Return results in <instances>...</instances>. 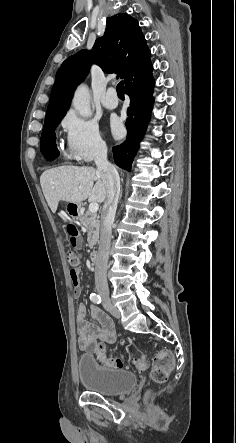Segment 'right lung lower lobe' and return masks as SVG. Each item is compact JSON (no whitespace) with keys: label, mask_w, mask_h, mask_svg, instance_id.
<instances>
[{"label":"right lung lower lobe","mask_w":236,"mask_h":443,"mask_svg":"<svg viewBox=\"0 0 236 443\" xmlns=\"http://www.w3.org/2000/svg\"><path fill=\"white\" fill-rule=\"evenodd\" d=\"M152 70L153 67L150 64L125 82V92L130 97V107L127 111L128 118L125 123L128 135L126 141L114 146L112 151L115 163L126 170L131 168L139 143L143 138L146 124L149 121L153 104L154 80ZM42 153L50 161L59 155L56 146Z\"/></svg>","instance_id":"1"}]
</instances>
